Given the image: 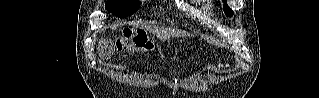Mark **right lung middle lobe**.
Segmentation results:
<instances>
[{
	"instance_id": "1",
	"label": "right lung middle lobe",
	"mask_w": 319,
	"mask_h": 98,
	"mask_svg": "<svg viewBox=\"0 0 319 98\" xmlns=\"http://www.w3.org/2000/svg\"><path fill=\"white\" fill-rule=\"evenodd\" d=\"M106 8L108 12L117 17H127L138 10L139 2L136 0H108Z\"/></svg>"
}]
</instances>
